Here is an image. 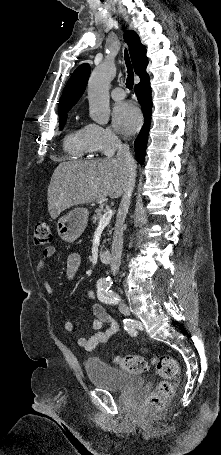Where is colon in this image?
Here are the masks:
<instances>
[{"label": "colon", "mask_w": 221, "mask_h": 455, "mask_svg": "<svg viewBox=\"0 0 221 455\" xmlns=\"http://www.w3.org/2000/svg\"><path fill=\"white\" fill-rule=\"evenodd\" d=\"M52 240L53 234L48 224L41 223L35 227V246L48 248ZM115 361L124 371L129 373H142L149 367L148 360L138 355H118ZM150 362L164 380L159 382L155 390L147 396L144 407L148 410L160 411L174 396L175 384L179 378V365L177 360L170 355L153 357Z\"/></svg>", "instance_id": "obj_1"}]
</instances>
